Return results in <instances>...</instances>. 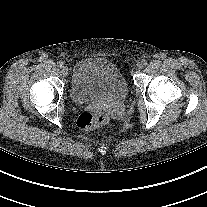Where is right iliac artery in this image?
<instances>
[{
    "label": "right iliac artery",
    "instance_id": "1",
    "mask_svg": "<svg viewBox=\"0 0 207 207\" xmlns=\"http://www.w3.org/2000/svg\"><path fill=\"white\" fill-rule=\"evenodd\" d=\"M63 65H64V63H63L62 61L57 62V66H58L59 68L63 67Z\"/></svg>",
    "mask_w": 207,
    "mask_h": 207
}]
</instances>
